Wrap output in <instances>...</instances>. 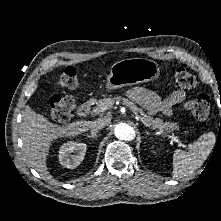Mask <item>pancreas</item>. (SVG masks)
Listing matches in <instances>:
<instances>
[{
  "label": "pancreas",
  "mask_w": 221,
  "mask_h": 221,
  "mask_svg": "<svg viewBox=\"0 0 221 221\" xmlns=\"http://www.w3.org/2000/svg\"><path fill=\"white\" fill-rule=\"evenodd\" d=\"M116 101H121L123 105L128 107L133 113L139 114L141 118L153 129H158L160 131L172 132L177 130L179 127L176 123L164 122L160 118H153L147 115L141 108H139L134 102L130 101L127 98L121 96L113 98H104L96 102V107L94 108L95 112L101 111L104 107L110 108L114 105Z\"/></svg>",
  "instance_id": "cf45deb5"
}]
</instances>
